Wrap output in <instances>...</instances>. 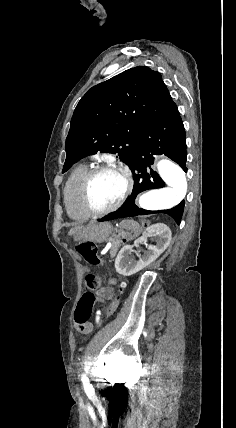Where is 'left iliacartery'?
Returning <instances> with one entry per match:
<instances>
[{"label":"left iliac artery","mask_w":236,"mask_h":428,"mask_svg":"<svg viewBox=\"0 0 236 428\" xmlns=\"http://www.w3.org/2000/svg\"><path fill=\"white\" fill-rule=\"evenodd\" d=\"M97 314H100V311H98V312H97ZM98 320H99V317H97V321H98ZM82 376H83V377H85L86 375H85V374H83Z\"/></svg>","instance_id":"left-iliac-artery-1"}]
</instances>
